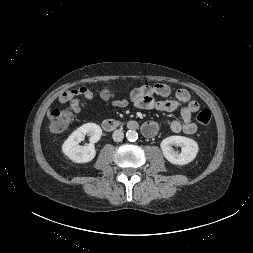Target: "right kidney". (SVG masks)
<instances>
[{"mask_svg": "<svg viewBox=\"0 0 253 253\" xmlns=\"http://www.w3.org/2000/svg\"><path fill=\"white\" fill-rule=\"evenodd\" d=\"M85 135L90 136V143L79 145ZM102 135V129L95 123H86L76 129L62 145L63 153L75 163H87L94 159L96 150L94 143L98 142Z\"/></svg>", "mask_w": 253, "mask_h": 253, "instance_id": "ca27d5eb", "label": "right kidney"}]
</instances>
